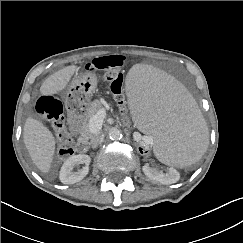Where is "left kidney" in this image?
<instances>
[{"label": "left kidney", "instance_id": "5707ae66", "mask_svg": "<svg viewBox=\"0 0 243 243\" xmlns=\"http://www.w3.org/2000/svg\"><path fill=\"white\" fill-rule=\"evenodd\" d=\"M142 170L149 179L164 185L176 183L180 179V174L174 167H170L166 173H163L162 171L151 167L149 164H145L142 167Z\"/></svg>", "mask_w": 243, "mask_h": 243}]
</instances>
